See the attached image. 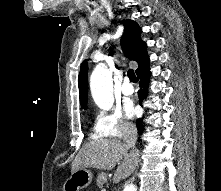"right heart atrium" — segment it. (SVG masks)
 Masks as SVG:
<instances>
[{"mask_svg":"<svg viewBox=\"0 0 221 191\" xmlns=\"http://www.w3.org/2000/svg\"><path fill=\"white\" fill-rule=\"evenodd\" d=\"M133 131L134 126L118 108L97 112L92 125V136L95 138L122 139Z\"/></svg>","mask_w":221,"mask_h":191,"instance_id":"1","label":"right heart atrium"}]
</instances>
